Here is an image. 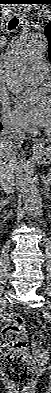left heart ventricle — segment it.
<instances>
[{"label": "left heart ventricle", "instance_id": "left-heart-ventricle-1", "mask_svg": "<svg viewBox=\"0 0 51 393\" xmlns=\"http://www.w3.org/2000/svg\"><path fill=\"white\" fill-rule=\"evenodd\" d=\"M48 127L50 126V128H48V129H51V121H50V123L47 125Z\"/></svg>", "mask_w": 51, "mask_h": 393}]
</instances>
